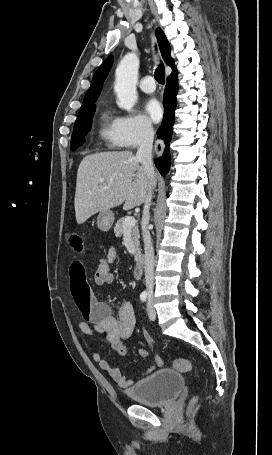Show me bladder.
I'll use <instances>...</instances> for the list:
<instances>
[{"mask_svg": "<svg viewBox=\"0 0 272 455\" xmlns=\"http://www.w3.org/2000/svg\"><path fill=\"white\" fill-rule=\"evenodd\" d=\"M184 386L183 376L171 369L158 370L129 390V397L141 404L163 406L173 401Z\"/></svg>", "mask_w": 272, "mask_h": 455, "instance_id": "obj_1", "label": "bladder"}]
</instances>
